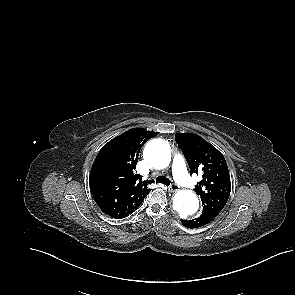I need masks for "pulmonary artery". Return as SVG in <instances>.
<instances>
[{"mask_svg": "<svg viewBox=\"0 0 295 295\" xmlns=\"http://www.w3.org/2000/svg\"><path fill=\"white\" fill-rule=\"evenodd\" d=\"M172 171L175 180L182 186L194 188L195 183L189 176L185 164V160L180 154H176L172 162Z\"/></svg>", "mask_w": 295, "mask_h": 295, "instance_id": "obj_1", "label": "pulmonary artery"}]
</instances>
